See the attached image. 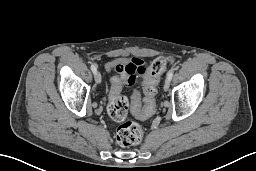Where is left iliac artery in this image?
Instances as JSON below:
<instances>
[{"label":"left iliac artery","instance_id":"44dca946","mask_svg":"<svg viewBox=\"0 0 256 171\" xmlns=\"http://www.w3.org/2000/svg\"><path fill=\"white\" fill-rule=\"evenodd\" d=\"M173 70H170L168 73H167V79H169L171 81L172 77H173Z\"/></svg>","mask_w":256,"mask_h":171}]
</instances>
